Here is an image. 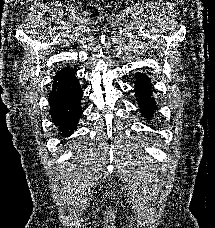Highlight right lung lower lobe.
Here are the masks:
<instances>
[{"mask_svg":"<svg viewBox=\"0 0 215 228\" xmlns=\"http://www.w3.org/2000/svg\"><path fill=\"white\" fill-rule=\"evenodd\" d=\"M83 91L75 75L56 76L49 96L50 115L54 126L58 127L63 137L77 130V123L83 113L80 101Z\"/></svg>","mask_w":215,"mask_h":228,"instance_id":"1","label":"right lung lower lobe"}]
</instances>
